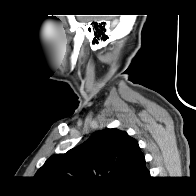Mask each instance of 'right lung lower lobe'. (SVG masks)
Segmentation results:
<instances>
[{"mask_svg":"<svg viewBox=\"0 0 196 196\" xmlns=\"http://www.w3.org/2000/svg\"><path fill=\"white\" fill-rule=\"evenodd\" d=\"M149 174H150V173H149ZM148 176H149V175H147L146 178H148ZM137 184H139V183H137ZM132 185H136V184H132Z\"/></svg>","mask_w":196,"mask_h":196,"instance_id":"right-lung-lower-lobe-1","label":"right lung lower lobe"}]
</instances>
